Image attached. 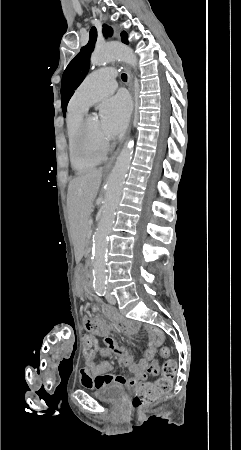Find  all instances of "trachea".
I'll return each instance as SVG.
<instances>
[{
    "label": "trachea",
    "mask_w": 241,
    "mask_h": 450,
    "mask_svg": "<svg viewBox=\"0 0 241 450\" xmlns=\"http://www.w3.org/2000/svg\"><path fill=\"white\" fill-rule=\"evenodd\" d=\"M121 78H122V80L126 81V80H127V75H126V73H123V74L121 75Z\"/></svg>",
    "instance_id": "1"
}]
</instances>
